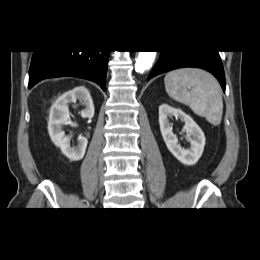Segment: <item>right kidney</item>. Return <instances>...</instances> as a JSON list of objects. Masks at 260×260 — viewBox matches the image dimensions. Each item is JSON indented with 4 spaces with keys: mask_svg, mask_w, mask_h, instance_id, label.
<instances>
[{
    "mask_svg": "<svg viewBox=\"0 0 260 260\" xmlns=\"http://www.w3.org/2000/svg\"><path fill=\"white\" fill-rule=\"evenodd\" d=\"M77 100L84 106L81 111L83 118L94 116V105L88 89L83 86L76 87L62 94L52 105L49 113L48 132L52 142L61 149L62 153L71 161L81 160L86 152L87 139L80 136L76 147L70 146V138L65 135L62 127L70 120L69 103Z\"/></svg>",
    "mask_w": 260,
    "mask_h": 260,
    "instance_id": "ca27d5eb",
    "label": "right kidney"
}]
</instances>
